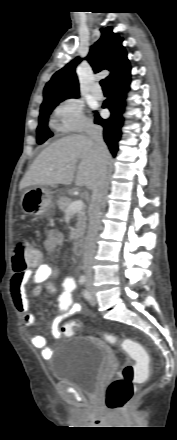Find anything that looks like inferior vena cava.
I'll return each mask as SVG.
<instances>
[{"label":"inferior vena cava","instance_id":"obj_1","mask_svg":"<svg viewBox=\"0 0 177 440\" xmlns=\"http://www.w3.org/2000/svg\"><path fill=\"white\" fill-rule=\"evenodd\" d=\"M86 133L93 141L98 154L99 172L93 187L91 204L89 207V224L83 254V269L87 280L92 279V264L96 249V237L100 228V216L103 208V197L106 191L107 161L104 158L105 144L102 138V128L92 123L86 127Z\"/></svg>","mask_w":177,"mask_h":440}]
</instances>
